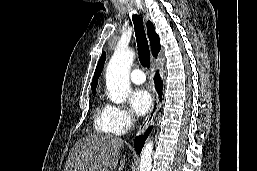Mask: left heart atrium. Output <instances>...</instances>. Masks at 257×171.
I'll return each instance as SVG.
<instances>
[{"mask_svg": "<svg viewBox=\"0 0 257 171\" xmlns=\"http://www.w3.org/2000/svg\"><path fill=\"white\" fill-rule=\"evenodd\" d=\"M129 103L132 111L138 115H144L148 112L152 104L150 93L143 88L132 91L129 95Z\"/></svg>", "mask_w": 257, "mask_h": 171, "instance_id": "1", "label": "left heart atrium"}]
</instances>
